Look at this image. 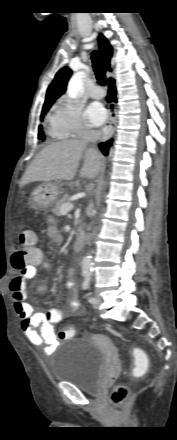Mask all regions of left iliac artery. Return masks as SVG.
Masks as SVG:
<instances>
[{"mask_svg":"<svg viewBox=\"0 0 177 440\" xmlns=\"http://www.w3.org/2000/svg\"><path fill=\"white\" fill-rule=\"evenodd\" d=\"M89 286H90V276H86L85 279H84V281H83V283H82V289L87 290V289L89 288ZM88 301H89L91 304H93V303H95L97 300H96L95 297H92V296H91V297L88 298Z\"/></svg>","mask_w":177,"mask_h":440,"instance_id":"left-iliac-artery-1","label":"left iliac artery"}]
</instances>
